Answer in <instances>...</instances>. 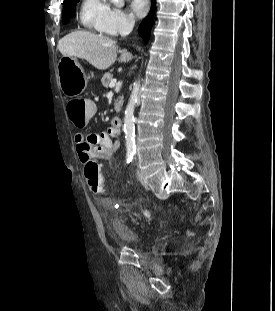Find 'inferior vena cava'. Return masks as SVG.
Segmentation results:
<instances>
[{
	"label": "inferior vena cava",
	"instance_id": "602c4592",
	"mask_svg": "<svg viewBox=\"0 0 275 311\" xmlns=\"http://www.w3.org/2000/svg\"><path fill=\"white\" fill-rule=\"evenodd\" d=\"M134 22L125 20L119 26V33L121 36H126L133 30Z\"/></svg>",
	"mask_w": 275,
	"mask_h": 311
}]
</instances>
